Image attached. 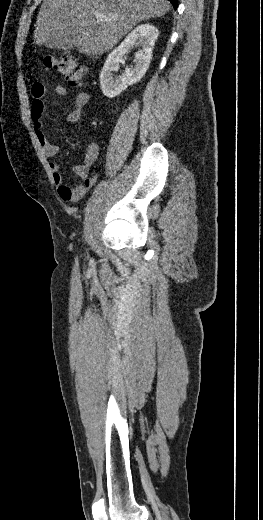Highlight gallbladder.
<instances>
[{"mask_svg": "<svg viewBox=\"0 0 263 520\" xmlns=\"http://www.w3.org/2000/svg\"><path fill=\"white\" fill-rule=\"evenodd\" d=\"M80 32L77 30L73 34H62L59 31L53 33L48 40V48L59 50H72L75 47L74 42L79 38Z\"/></svg>", "mask_w": 263, "mask_h": 520, "instance_id": "1", "label": "gallbladder"}]
</instances>
